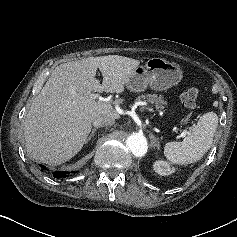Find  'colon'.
Returning a JSON list of instances; mask_svg holds the SVG:
<instances>
[{
	"mask_svg": "<svg viewBox=\"0 0 237 237\" xmlns=\"http://www.w3.org/2000/svg\"><path fill=\"white\" fill-rule=\"evenodd\" d=\"M199 91L197 88H189L181 95V104L187 110H192L196 107Z\"/></svg>",
	"mask_w": 237,
	"mask_h": 237,
	"instance_id": "5ec220e1",
	"label": "colon"
}]
</instances>
